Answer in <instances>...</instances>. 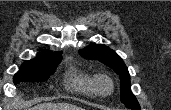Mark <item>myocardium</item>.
<instances>
[{
  "label": "myocardium",
  "instance_id": "f54148a6",
  "mask_svg": "<svg viewBox=\"0 0 171 110\" xmlns=\"http://www.w3.org/2000/svg\"><path fill=\"white\" fill-rule=\"evenodd\" d=\"M95 93L107 97L110 96L114 92V82L113 80L106 74H98L93 79ZM103 83H107L109 85V90L105 91L102 87Z\"/></svg>",
  "mask_w": 171,
  "mask_h": 110
}]
</instances>
